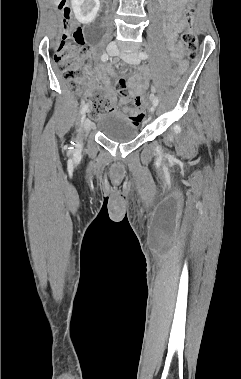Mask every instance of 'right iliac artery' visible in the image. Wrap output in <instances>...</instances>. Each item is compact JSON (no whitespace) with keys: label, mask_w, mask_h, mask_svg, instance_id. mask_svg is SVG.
<instances>
[{"label":"right iliac artery","mask_w":241,"mask_h":379,"mask_svg":"<svg viewBox=\"0 0 241 379\" xmlns=\"http://www.w3.org/2000/svg\"><path fill=\"white\" fill-rule=\"evenodd\" d=\"M109 59V56L106 54V53H103L102 56H101V60L103 62L107 61ZM88 106L87 104H85L82 109H81V113H84L86 110H87Z\"/></svg>","instance_id":"right-iliac-artery-1"}]
</instances>
